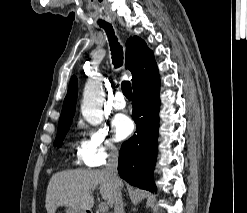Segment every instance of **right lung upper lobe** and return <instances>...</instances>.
<instances>
[{
    "mask_svg": "<svg viewBox=\"0 0 247 213\" xmlns=\"http://www.w3.org/2000/svg\"><path fill=\"white\" fill-rule=\"evenodd\" d=\"M125 66L132 73L133 87L158 73L153 52L147 47L146 43L137 36L131 37L126 43ZM76 98L77 78L73 76L64 99L58 127L67 124L71 125L75 113Z\"/></svg>",
    "mask_w": 247,
    "mask_h": 213,
    "instance_id": "obj_1",
    "label": "right lung upper lobe"
}]
</instances>
